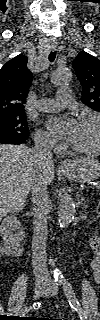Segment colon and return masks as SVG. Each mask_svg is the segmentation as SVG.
Instances as JSON below:
<instances>
[{
  "label": "colon",
  "mask_w": 100,
  "mask_h": 320,
  "mask_svg": "<svg viewBox=\"0 0 100 320\" xmlns=\"http://www.w3.org/2000/svg\"><path fill=\"white\" fill-rule=\"evenodd\" d=\"M91 245H92L93 247L99 246V239H98L97 237H94V238L92 239V241H91Z\"/></svg>",
  "instance_id": "5ec220e1"
}]
</instances>
